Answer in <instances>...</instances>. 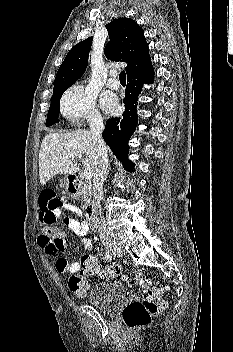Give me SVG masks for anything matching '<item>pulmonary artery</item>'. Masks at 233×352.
Listing matches in <instances>:
<instances>
[{
  "instance_id": "1",
  "label": "pulmonary artery",
  "mask_w": 233,
  "mask_h": 352,
  "mask_svg": "<svg viewBox=\"0 0 233 352\" xmlns=\"http://www.w3.org/2000/svg\"><path fill=\"white\" fill-rule=\"evenodd\" d=\"M117 75L116 71L112 70L110 72V78L108 79L107 85L111 89H118L120 86L119 81L115 78Z\"/></svg>"
}]
</instances>
